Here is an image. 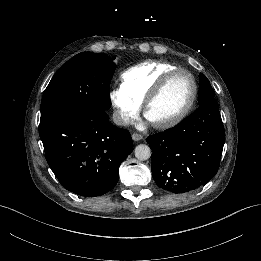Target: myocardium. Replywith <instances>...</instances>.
Segmentation results:
<instances>
[{
  "label": "myocardium",
  "instance_id": "obj_1",
  "mask_svg": "<svg viewBox=\"0 0 261 261\" xmlns=\"http://www.w3.org/2000/svg\"><path fill=\"white\" fill-rule=\"evenodd\" d=\"M177 73L186 74L191 81L192 95H191L189 102L184 107V109L180 113L175 115L174 117H171V118L163 120V121H152V120H150L149 117H148L149 108L159 98V96L162 94L164 89L169 84L172 77ZM197 93H198V87H197V83H196L194 76L186 69L174 68V69L166 72L160 78V80L153 86V88L151 89V91L149 92L147 97L145 98L144 104H143L144 116L157 129H167V128L173 127V126L177 125L178 123H180L190 113V111L192 110V108L195 104V101H196V98H197Z\"/></svg>",
  "mask_w": 261,
  "mask_h": 261
}]
</instances>
